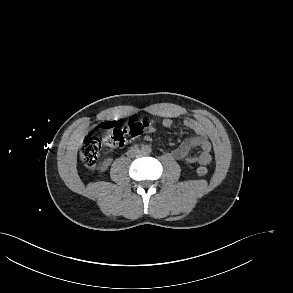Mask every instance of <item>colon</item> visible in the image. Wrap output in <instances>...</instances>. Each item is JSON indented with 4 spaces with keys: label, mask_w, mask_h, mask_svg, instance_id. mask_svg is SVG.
<instances>
[{
    "label": "colon",
    "mask_w": 293,
    "mask_h": 293,
    "mask_svg": "<svg viewBox=\"0 0 293 293\" xmlns=\"http://www.w3.org/2000/svg\"><path fill=\"white\" fill-rule=\"evenodd\" d=\"M150 127L147 120L127 121L123 127L116 122H104L101 129L107 131V136L101 142L97 137L90 136L85 139L80 149V159L88 169H96L99 164L102 143L109 147H122L140 137ZM199 176L207 174L208 169L201 166L197 169Z\"/></svg>",
    "instance_id": "1"
}]
</instances>
